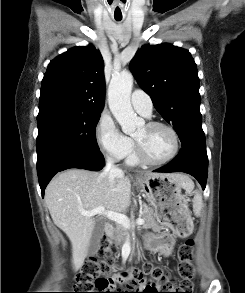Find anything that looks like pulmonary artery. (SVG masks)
<instances>
[{"label":"pulmonary artery","mask_w":245,"mask_h":293,"mask_svg":"<svg viewBox=\"0 0 245 293\" xmlns=\"http://www.w3.org/2000/svg\"><path fill=\"white\" fill-rule=\"evenodd\" d=\"M131 104L137 113L144 117H150L152 100L146 92L136 89L131 95Z\"/></svg>","instance_id":"e3ab8cb5"}]
</instances>
